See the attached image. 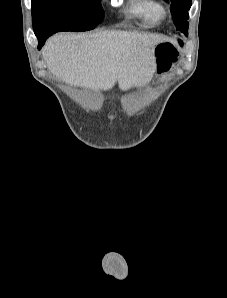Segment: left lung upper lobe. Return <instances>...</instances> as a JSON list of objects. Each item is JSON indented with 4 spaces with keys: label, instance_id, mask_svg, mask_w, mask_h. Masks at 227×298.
Listing matches in <instances>:
<instances>
[{
    "label": "left lung upper lobe",
    "instance_id": "obj_1",
    "mask_svg": "<svg viewBox=\"0 0 227 298\" xmlns=\"http://www.w3.org/2000/svg\"><path fill=\"white\" fill-rule=\"evenodd\" d=\"M170 3V10L177 30L188 36L189 19L188 11L191 7V0H164Z\"/></svg>",
    "mask_w": 227,
    "mask_h": 298
}]
</instances>
